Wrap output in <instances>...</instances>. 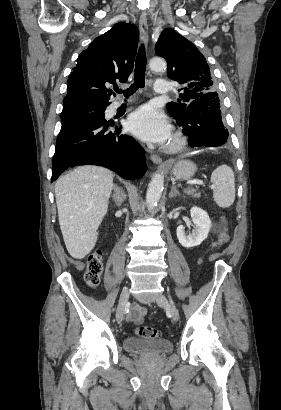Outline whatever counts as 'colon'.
<instances>
[{"label":"colon","mask_w":281,"mask_h":410,"mask_svg":"<svg viewBox=\"0 0 281 410\" xmlns=\"http://www.w3.org/2000/svg\"><path fill=\"white\" fill-rule=\"evenodd\" d=\"M228 239L225 227H223L217 239L212 244L213 248H219ZM103 273V251L97 250L88 259L87 269L85 273V280L90 287H97L100 283L101 276ZM135 334L142 338L153 339L161 335L160 331L148 327V326H138L135 329Z\"/></svg>","instance_id":"obj_1"}]
</instances>
